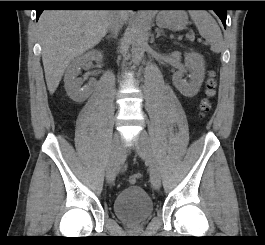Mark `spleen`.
<instances>
[{
    "label": "spleen",
    "mask_w": 265,
    "mask_h": 245,
    "mask_svg": "<svg viewBox=\"0 0 265 245\" xmlns=\"http://www.w3.org/2000/svg\"><path fill=\"white\" fill-rule=\"evenodd\" d=\"M190 17L199 30L200 35L211 45V50L220 53L224 48L221 30L212 16L202 10L189 11Z\"/></svg>",
    "instance_id": "1"
}]
</instances>
